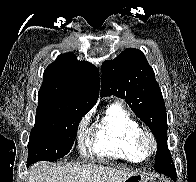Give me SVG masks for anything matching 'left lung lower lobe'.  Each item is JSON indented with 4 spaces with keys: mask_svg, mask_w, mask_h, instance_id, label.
I'll use <instances>...</instances> for the list:
<instances>
[{
    "mask_svg": "<svg viewBox=\"0 0 196 182\" xmlns=\"http://www.w3.org/2000/svg\"><path fill=\"white\" fill-rule=\"evenodd\" d=\"M157 160L158 161H160V162H165V163H167V162H169V161H171L172 159H171V156H168L167 154H160V156H159V158H157ZM176 179H174V181H175Z\"/></svg>",
    "mask_w": 196,
    "mask_h": 182,
    "instance_id": "0a47b994",
    "label": "left lung lower lobe"
}]
</instances>
